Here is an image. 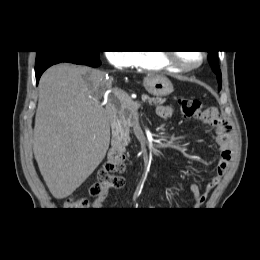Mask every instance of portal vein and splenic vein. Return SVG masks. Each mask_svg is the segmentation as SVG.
<instances>
[{
  "instance_id": "18ae733b",
  "label": "portal vein and splenic vein",
  "mask_w": 260,
  "mask_h": 260,
  "mask_svg": "<svg viewBox=\"0 0 260 260\" xmlns=\"http://www.w3.org/2000/svg\"><path fill=\"white\" fill-rule=\"evenodd\" d=\"M113 94L117 99H119L122 103L129 106L133 110H137L140 108L141 104L138 102H134L129 95L121 90V89H113Z\"/></svg>"
}]
</instances>
